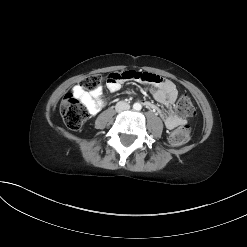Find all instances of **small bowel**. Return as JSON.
<instances>
[{"instance_id": "1", "label": "small bowel", "mask_w": 247, "mask_h": 247, "mask_svg": "<svg viewBox=\"0 0 247 247\" xmlns=\"http://www.w3.org/2000/svg\"><path fill=\"white\" fill-rule=\"evenodd\" d=\"M107 88L112 91H118L121 87V82L134 83H150L153 87L152 93L154 98L163 104L167 111L161 112L162 119L168 129H174L182 124L183 119L176 116L172 111V106L178 97V90L175 84L166 78H162L148 71L126 70L123 73L120 71H111L105 75ZM148 81H144V80ZM102 86L86 91L80 85H75L72 89V95L81 101L91 115H96L105 105V100L102 97ZM145 106L156 110V107L150 102H144Z\"/></svg>"}]
</instances>
